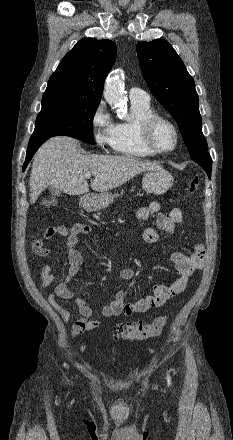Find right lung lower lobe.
Returning <instances> with one entry per match:
<instances>
[{"mask_svg": "<svg viewBox=\"0 0 233 440\" xmlns=\"http://www.w3.org/2000/svg\"><path fill=\"white\" fill-rule=\"evenodd\" d=\"M48 139L49 138H32V137L30 138L27 149L26 160L23 165V170H25L27 164L29 163V161L31 160L37 149Z\"/></svg>", "mask_w": 233, "mask_h": 440, "instance_id": "1", "label": "right lung lower lobe"}]
</instances>
